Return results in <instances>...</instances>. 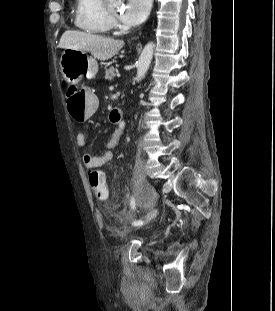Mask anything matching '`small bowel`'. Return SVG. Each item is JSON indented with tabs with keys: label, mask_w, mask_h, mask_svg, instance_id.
<instances>
[{
	"label": "small bowel",
	"mask_w": 275,
	"mask_h": 311,
	"mask_svg": "<svg viewBox=\"0 0 275 311\" xmlns=\"http://www.w3.org/2000/svg\"><path fill=\"white\" fill-rule=\"evenodd\" d=\"M96 110L97 107L95 108V112ZM105 124L106 126H115V128L105 144V151L101 155H83V163L87 169H95L111 161L113 157L112 150L118 145L123 134V114L119 112L108 114V119H106ZM75 144L78 147H85L87 145V136L84 132L79 131L76 133Z\"/></svg>",
	"instance_id": "c3829d8e"
}]
</instances>
